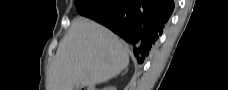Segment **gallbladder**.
<instances>
[{"mask_svg":"<svg viewBox=\"0 0 228 90\" xmlns=\"http://www.w3.org/2000/svg\"><path fill=\"white\" fill-rule=\"evenodd\" d=\"M76 90H81V88H76Z\"/></svg>","mask_w":228,"mask_h":90,"instance_id":"bac80fb5","label":"gallbladder"}]
</instances>
